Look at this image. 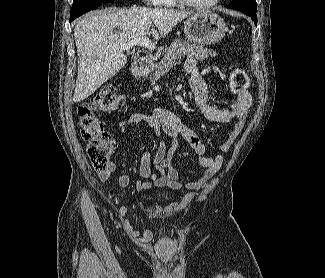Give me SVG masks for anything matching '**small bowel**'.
Masks as SVG:
<instances>
[{
    "instance_id": "c3829d8e",
    "label": "small bowel",
    "mask_w": 325,
    "mask_h": 278,
    "mask_svg": "<svg viewBox=\"0 0 325 278\" xmlns=\"http://www.w3.org/2000/svg\"><path fill=\"white\" fill-rule=\"evenodd\" d=\"M186 72L190 76V87L194 94L196 106L204 117L212 123H227L237 119L231 133L220 144L222 152H228L244 127V121L248 110L252 105V96L247 88L237 93L236 100L227 105H213L208 102V88L200 75L197 60L194 57L187 58L185 62ZM145 122L158 134L171 140V146L163 139L154 155L146 151L142 154L139 162V173L142 179L135 182L137 190H147L155 186H167L171 188L186 187L191 190L204 188L209 180L219 170L223 157L206 156V147L199 136L191 128L186 126L179 116L166 108H154L148 113H133L118 122L120 134H124L131 126ZM180 143H185L197 156L199 165L203 169L202 177L193 182L183 184L179 173L172 166V158ZM152 168L154 171H152ZM117 171V166L109 160L106 170L99 173V179L103 184L109 183L112 174ZM117 181L121 187H127L131 183V177L127 173H118Z\"/></svg>"
}]
</instances>
